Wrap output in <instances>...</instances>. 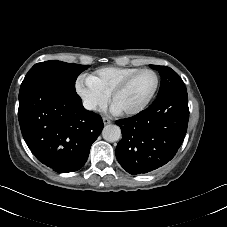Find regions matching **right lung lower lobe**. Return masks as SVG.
Listing matches in <instances>:
<instances>
[{
  "mask_svg": "<svg viewBox=\"0 0 227 227\" xmlns=\"http://www.w3.org/2000/svg\"><path fill=\"white\" fill-rule=\"evenodd\" d=\"M18 119L31 152L58 173L79 170L103 129L102 118L87 111L76 92L49 81L20 90Z\"/></svg>",
  "mask_w": 227,
  "mask_h": 227,
  "instance_id": "obj_1",
  "label": "right lung lower lobe"
}]
</instances>
